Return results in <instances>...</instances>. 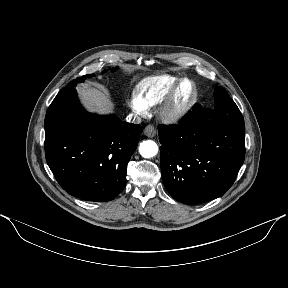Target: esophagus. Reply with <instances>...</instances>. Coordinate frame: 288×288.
I'll return each mask as SVG.
<instances>
[{"mask_svg": "<svg viewBox=\"0 0 288 288\" xmlns=\"http://www.w3.org/2000/svg\"><path fill=\"white\" fill-rule=\"evenodd\" d=\"M144 135L153 138L156 135V129L153 125H148L144 129Z\"/></svg>", "mask_w": 288, "mask_h": 288, "instance_id": "34e87169", "label": "esophagus"}]
</instances>
